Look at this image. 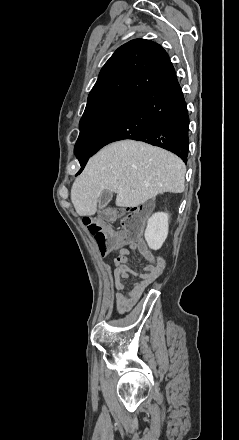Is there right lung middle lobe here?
Instances as JSON below:
<instances>
[{"label": "right lung middle lobe", "mask_w": 239, "mask_h": 440, "mask_svg": "<svg viewBox=\"0 0 239 440\" xmlns=\"http://www.w3.org/2000/svg\"><path fill=\"white\" fill-rule=\"evenodd\" d=\"M133 97L118 96L86 108L80 120L75 154L92 151L100 136L116 121Z\"/></svg>", "instance_id": "right-lung-middle-lobe-1"}]
</instances>
